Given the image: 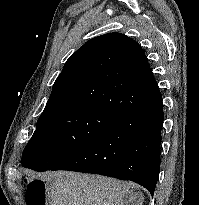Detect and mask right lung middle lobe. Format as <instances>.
Returning <instances> with one entry per match:
<instances>
[{"label": "right lung middle lobe", "instance_id": "obj_1", "mask_svg": "<svg viewBox=\"0 0 199 205\" xmlns=\"http://www.w3.org/2000/svg\"><path fill=\"white\" fill-rule=\"evenodd\" d=\"M119 117L89 106L43 112L24 149L21 163L36 171H47L96 140Z\"/></svg>", "mask_w": 199, "mask_h": 205}]
</instances>
